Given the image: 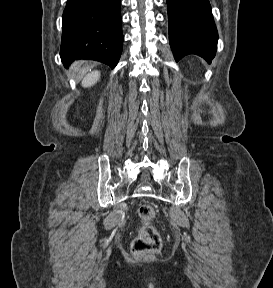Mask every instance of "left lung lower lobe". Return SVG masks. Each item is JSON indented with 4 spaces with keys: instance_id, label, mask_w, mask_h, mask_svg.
Wrapping results in <instances>:
<instances>
[{
    "instance_id": "0a47b994",
    "label": "left lung lower lobe",
    "mask_w": 273,
    "mask_h": 288,
    "mask_svg": "<svg viewBox=\"0 0 273 288\" xmlns=\"http://www.w3.org/2000/svg\"><path fill=\"white\" fill-rule=\"evenodd\" d=\"M167 6L169 41L175 60L196 54L211 63L218 33L209 0H167Z\"/></svg>"
}]
</instances>
